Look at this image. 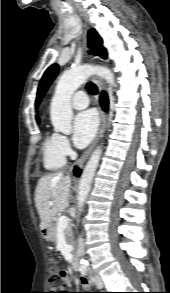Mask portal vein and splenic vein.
<instances>
[{"mask_svg":"<svg viewBox=\"0 0 170 293\" xmlns=\"http://www.w3.org/2000/svg\"><path fill=\"white\" fill-rule=\"evenodd\" d=\"M49 205H53V202H49ZM69 220L66 216H61L58 219L57 229L64 230L68 226Z\"/></svg>","mask_w":170,"mask_h":293,"instance_id":"18ae733b","label":"portal vein and splenic vein"}]
</instances>
